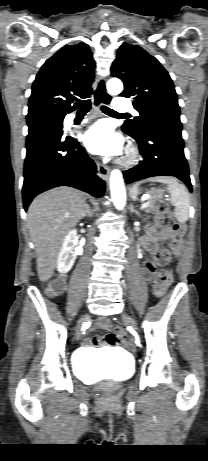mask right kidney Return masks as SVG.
<instances>
[{
  "instance_id": "ca27d5eb",
  "label": "right kidney",
  "mask_w": 208,
  "mask_h": 461,
  "mask_svg": "<svg viewBox=\"0 0 208 461\" xmlns=\"http://www.w3.org/2000/svg\"><path fill=\"white\" fill-rule=\"evenodd\" d=\"M76 235V230H71L64 239L62 248L57 258V270L60 273L69 272L75 262L77 255H81L83 252L81 245L74 249Z\"/></svg>"
}]
</instances>
